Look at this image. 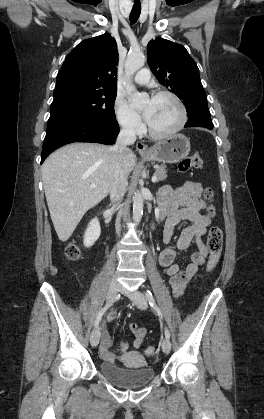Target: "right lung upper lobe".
Returning <instances> with one entry per match:
<instances>
[{
    "label": "right lung upper lobe",
    "instance_id": "cb5924a9",
    "mask_svg": "<svg viewBox=\"0 0 264 419\" xmlns=\"http://www.w3.org/2000/svg\"><path fill=\"white\" fill-rule=\"evenodd\" d=\"M118 51L108 33L80 42L58 72L55 88L79 84L96 90L117 91Z\"/></svg>",
    "mask_w": 264,
    "mask_h": 419
}]
</instances>
